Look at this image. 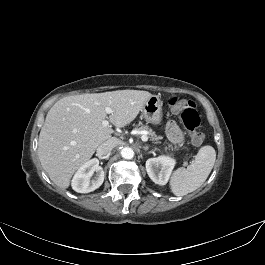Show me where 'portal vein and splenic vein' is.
Here are the masks:
<instances>
[{
	"instance_id": "obj_1",
	"label": "portal vein and splenic vein",
	"mask_w": 265,
	"mask_h": 265,
	"mask_svg": "<svg viewBox=\"0 0 265 265\" xmlns=\"http://www.w3.org/2000/svg\"><path fill=\"white\" fill-rule=\"evenodd\" d=\"M105 111H106L107 114H111L113 112V110L110 107H106ZM102 125L103 126H109V122L107 120H103L102 121ZM147 133H148L147 131H143L142 132L141 139H142L143 142H147L148 141Z\"/></svg>"
}]
</instances>
